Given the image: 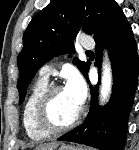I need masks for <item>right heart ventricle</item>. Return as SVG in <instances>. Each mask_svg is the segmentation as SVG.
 <instances>
[{"instance_id": "e07e8e85", "label": "right heart ventricle", "mask_w": 139, "mask_h": 150, "mask_svg": "<svg viewBox=\"0 0 139 150\" xmlns=\"http://www.w3.org/2000/svg\"><path fill=\"white\" fill-rule=\"evenodd\" d=\"M47 86L48 80L39 78L31 88V91L24 104L22 114L23 127L28 137L32 140H42L49 135L37 127L34 119V112L37 101Z\"/></svg>"}]
</instances>
